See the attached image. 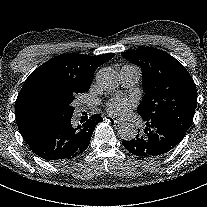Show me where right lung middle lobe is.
Returning a JSON list of instances; mask_svg holds the SVG:
<instances>
[{
	"label": "right lung middle lobe",
	"instance_id": "dd1d6c3e",
	"mask_svg": "<svg viewBox=\"0 0 207 207\" xmlns=\"http://www.w3.org/2000/svg\"><path fill=\"white\" fill-rule=\"evenodd\" d=\"M71 104L53 99H42L37 102L36 106L52 122L71 118L74 112V107Z\"/></svg>",
	"mask_w": 207,
	"mask_h": 207
}]
</instances>
